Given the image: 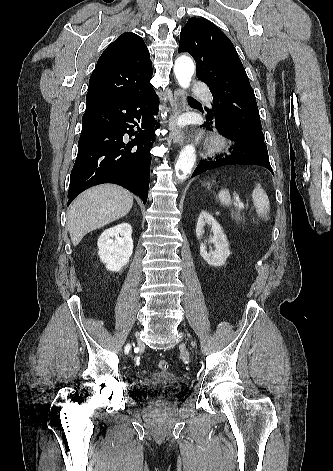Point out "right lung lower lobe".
<instances>
[{
  "mask_svg": "<svg viewBox=\"0 0 333 471\" xmlns=\"http://www.w3.org/2000/svg\"><path fill=\"white\" fill-rule=\"evenodd\" d=\"M158 105L159 98L149 83L123 99L84 113L68 205L79 193L101 183L121 185L146 203L156 123L153 115ZM125 134L135 138L128 141Z\"/></svg>",
  "mask_w": 333,
  "mask_h": 471,
  "instance_id": "obj_1",
  "label": "right lung lower lobe"
}]
</instances>
